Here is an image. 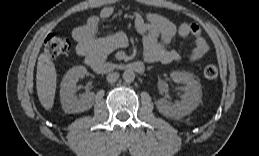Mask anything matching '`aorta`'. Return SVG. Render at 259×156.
<instances>
[{
    "label": "aorta",
    "instance_id": "762f6f07",
    "mask_svg": "<svg viewBox=\"0 0 259 156\" xmlns=\"http://www.w3.org/2000/svg\"><path fill=\"white\" fill-rule=\"evenodd\" d=\"M123 79L126 83H132L135 80V73L132 70H126L123 73Z\"/></svg>",
    "mask_w": 259,
    "mask_h": 156
}]
</instances>
